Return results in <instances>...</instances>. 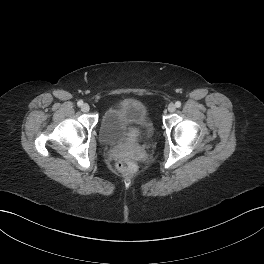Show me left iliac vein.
Listing matches in <instances>:
<instances>
[{
	"label": "left iliac vein",
	"mask_w": 264,
	"mask_h": 264,
	"mask_svg": "<svg viewBox=\"0 0 264 264\" xmlns=\"http://www.w3.org/2000/svg\"><path fill=\"white\" fill-rule=\"evenodd\" d=\"M175 110H176V106L173 103H170L168 105V111L173 113V112H175Z\"/></svg>",
	"instance_id": "left-iliac-vein-1"
}]
</instances>
